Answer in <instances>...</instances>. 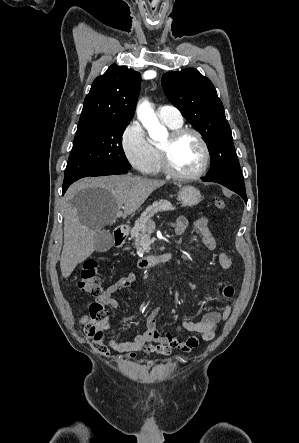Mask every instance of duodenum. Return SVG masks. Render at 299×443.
<instances>
[{
    "label": "duodenum",
    "mask_w": 299,
    "mask_h": 443,
    "mask_svg": "<svg viewBox=\"0 0 299 443\" xmlns=\"http://www.w3.org/2000/svg\"><path fill=\"white\" fill-rule=\"evenodd\" d=\"M126 226L125 225H119L116 227V229L113 232V242L115 247H121L124 245L126 241ZM174 256L172 252H168L161 256V259H171ZM160 261L159 258L156 257H150V256H143L138 258L137 260V267L139 269H147L150 266L158 263Z\"/></svg>",
    "instance_id": "obj_1"
}]
</instances>
